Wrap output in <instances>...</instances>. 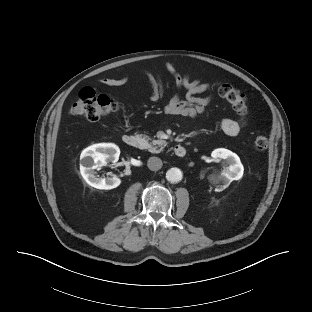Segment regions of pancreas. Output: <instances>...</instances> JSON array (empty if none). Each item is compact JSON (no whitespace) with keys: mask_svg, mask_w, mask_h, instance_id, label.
<instances>
[{"mask_svg":"<svg viewBox=\"0 0 312 312\" xmlns=\"http://www.w3.org/2000/svg\"><path fill=\"white\" fill-rule=\"evenodd\" d=\"M137 137L140 141V147L142 149H148L151 153H160L167 145V142L164 140H153L152 142H149L150 138L145 134H139Z\"/></svg>","mask_w":312,"mask_h":312,"instance_id":"pancreas-1","label":"pancreas"}]
</instances>
